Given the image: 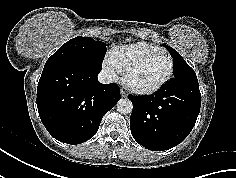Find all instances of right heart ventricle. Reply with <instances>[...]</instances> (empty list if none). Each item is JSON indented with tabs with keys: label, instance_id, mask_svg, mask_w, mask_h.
I'll list each match as a JSON object with an SVG mask.
<instances>
[{
	"label": "right heart ventricle",
	"instance_id": "obj_1",
	"mask_svg": "<svg viewBox=\"0 0 236 178\" xmlns=\"http://www.w3.org/2000/svg\"><path fill=\"white\" fill-rule=\"evenodd\" d=\"M161 50L162 48L150 43L135 42L113 48L109 54V60L120 73H123L136 59Z\"/></svg>",
	"mask_w": 236,
	"mask_h": 178
}]
</instances>
